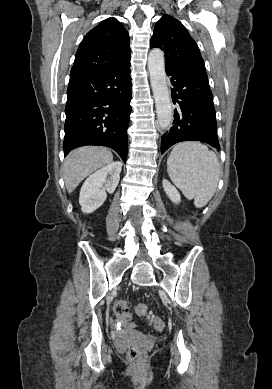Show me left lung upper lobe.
Here are the masks:
<instances>
[{
    "mask_svg": "<svg viewBox=\"0 0 272 389\" xmlns=\"http://www.w3.org/2000/svg\"><path fill=\"white\" fill-rule=\"evenodd\" d=\"M150 46L165 52L166 69L205 71L198 45L182 23L169 15L156 23Z\"/></svg>",
    "mask_w": 272,
    "mask_h": 389,
    "instance_id": "obj_1",
    "label": "left lung upper lobe"
}]
</instances>
